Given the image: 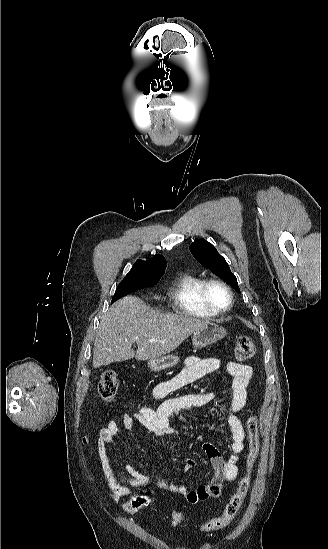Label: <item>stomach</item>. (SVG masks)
<instances>
[{"label":"stomach","instance_id":"0dacf381","mask_svg":"<svg viewBox=\"0 0 328 549\" xmlns=\"http://www.w3.org/2000/svg\"><path fill=\"white\" fill-rule=\"evenodd\" d=\"M227 335L226 329L217 325V323H207L204 327H200L197 331H194L192 337L193 347L196 349H202V347H207V345H212L216 341H220ZM179 357H174V355H162V357H157V359H149L148 367L150 371H164V369H170V367H175L178 365Z\"/></svg>","mask_w":328,"mask_h":549}]
</instances>
